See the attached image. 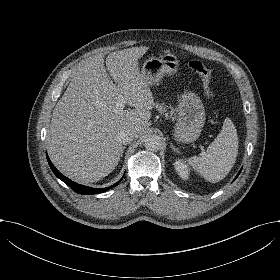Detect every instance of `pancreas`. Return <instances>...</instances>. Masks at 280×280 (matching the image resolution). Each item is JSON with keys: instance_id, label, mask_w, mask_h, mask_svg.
I'll return each instance as SVG.
<instances>
[{"instance_id": "obj_1", "label": "pancreas", "mask_w": 280, "mask_h": 280, "mask_svg": "<svg viewBox=\"0 0 280 280\" xmlns=\"http://www.w3.org/2000/svg\"><path fill=\"white\" fill-rule=\"evenodd\" d=\"M154 108L161 116H165V119H171L172 121L177 119V109L172 104H168L164 101H157L154 103Z\"/></svg>"}]
</instances>
